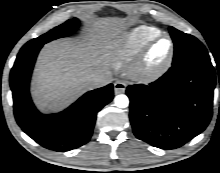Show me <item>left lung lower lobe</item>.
Here are the masks:
<instances>
[{
  "label": "left lung lower lobe",
  "mask_w": 220,
  "mask_h": 173,
  "mask_svg": "<svg viewBox=\"0 0 220 173\" xmlns=\"http://www.w3.org/2000/svg\"><path fill=\"white\" fill-rule=\"evenodd\" d=\"M215 83L210 59L199 58L173 64L149 86H128L135 136L161 149L183 146L209 124Z\"/></svg>",
  "instance_id": "1"
}]
</instances>
